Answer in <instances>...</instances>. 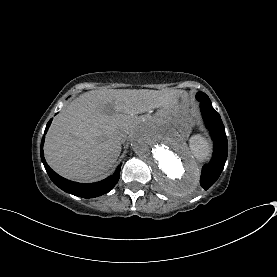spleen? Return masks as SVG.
Here are the masks:
<instances>
[{
  "label": "spleen",
  "mask_w": 277,
  "mask_h": 277,
  "mask_svg": "<svg viewBox=\"0 0 277 277\" xmlns=\"http://www.w3.org/2000/svg\"><path fill=\"white\" fill-rule=\"evenodd\" d=\"M189 147L194 157L199 161H203L209 157L210 144L202 135H193L189 140Z\"/></svg>",
  "instance_id": "1"
}]
</instances>
